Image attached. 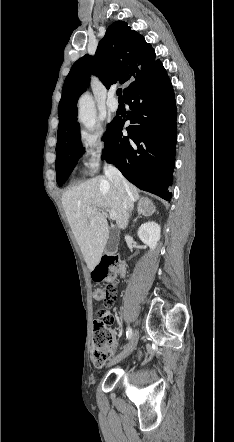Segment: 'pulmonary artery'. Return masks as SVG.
<instances>
[{
    "instance_id": "e3ab8cb5",
    "label": "pulmonary artery",
    "mask_w": 234,
    "mask_h": 442,
    "mask_svg": "<svg viewBox=\"0 0 234 442\" xmlns=\"http://www.w3.org/2000/svg\"><path fill=\"white\" fill-rule=\"evenodd\" d=\"M107 107L111 112H115L118 110L119 104H118L117 100L115 99V92L114 91H111L108 94Z\"/></svg>"
}]
</instances>
